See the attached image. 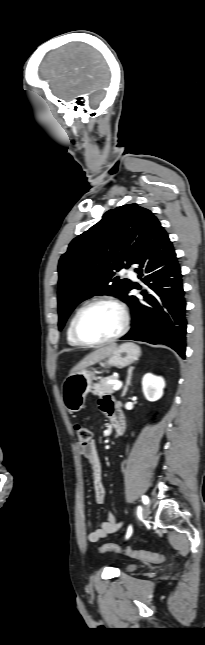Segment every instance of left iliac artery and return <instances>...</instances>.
Masks as SVG:
<instances>
[{
	"label": "left iliac artery",
	"instance_id": "left-iliac-artery-1",
	"mask_svg": "<svg viewBox=\"0 0 205 645\" xmlns=\"http://www.w3.org/2000/svg\"><path fill=\"white\" fill-rule=\"evenodd\" d=\"M142 502L144 504H148L149 503V498L147 496L143 495L142 496ZM131 534H132V527L129 526L128 530H127V534H126V539H128L131 536Z\"/></svg>",
	"mask_w": 205,
	"mask_h": 645
}]
</instances>
